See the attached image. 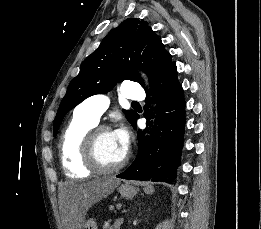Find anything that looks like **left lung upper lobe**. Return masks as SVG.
<instances>
[{
  "instance_id": "1",
  "label": "left lung upper lobe",
  "mask_w": 261,
  "mask_h": 229,
  "mask_svg": "<svg viewBox=\"0 0 261 229\" xmlns=\"http://www.w3.org/2000/svg\"><path fill=\"white\" fill-rule=\"evenodd\" d=\"M171 59L172 55L164 49L161 39L147 22L134 18L124 20L85 59L79 74L71 80L54 120V136L66 113L84 99L106 93L125 79L143 86L137 68L147 73L152 83L175 64ZM124 112L133 124L137 113L133 110Z\"/></svg>"
}]
</instances>
